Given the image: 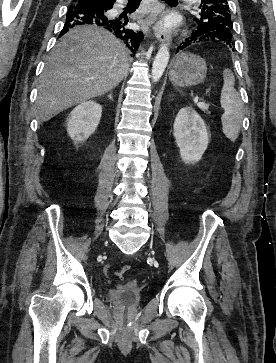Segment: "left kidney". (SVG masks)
Wrapping results in <instances>:
<instances>
[{"mask_svg": "<svg viewBox=\"0 0 276 363\" xmlns=\"http://www.w3.org/2000/svg\"><path fill=\"white\" fill-rule=\"evenodd\" d=\"M173 135L185 164H195L201 160L209 143V134L205 122L193 108L179 110Z\"/></svg>", "mask_w": 276, "mask_h": 363, "instance_id": "left-kidney-1", "label": "left kidney"}]
</instances>
